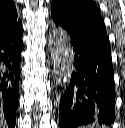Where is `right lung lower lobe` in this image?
Here are the masks:
<instances>
[{
  "mask_svg": "<svg viewBox=\"0 0 125 128\" xmlns=\"http://www.w3.org/2000/svg\"><path fill=\"white\" fill-rule=\"evenodd\" d=\"M22 33L20 24L0 34V104L9 128H14L16 124Z\"/></svg>",
  "mask_w": 125,
  "mask_h": 128,
  "instance_id": "98d812e1",
  "label": "right lung lower lobe"
}]
</instances>
